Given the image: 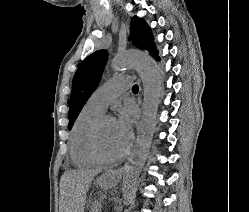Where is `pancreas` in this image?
Instances as JSON below:
<instances>
[{
    "mask_svg": "<svg viewBox=\"0 0 249 212\" xmlns=\"http://www.w3.org/2000/svg\"><path fill=\"white\" fill-rule=\"evenodd\" d=\"M91 212H101V204H95V206H92Z\"/></svg>",
    "mask_w": 249,
    "mask_h": 212,
    "instance_id": "obj_1",
    "label": "pancreas"
}]
</instances>
